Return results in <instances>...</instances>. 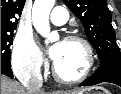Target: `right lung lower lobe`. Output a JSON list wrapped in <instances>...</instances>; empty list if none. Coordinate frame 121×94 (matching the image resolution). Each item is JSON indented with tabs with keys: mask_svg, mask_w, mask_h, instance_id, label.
<instances>
[{
	"mask_svg": "<svg viewBox=\"0 0 121 94\" xmlns=\"http://www.w3.org/2000/svg\"><path fill=\"white\" fill-rule=\"evenodd\" d=\"M1 73L13 78V73L11 70V63L7 61H1Z\"/></svg>",
	"mask_w": 121,
	"mask_h": 94,
	"instance_id": "right-lung-lower-lobe-1",
	"label": "right lung lower lobe"
}]
</instances>
